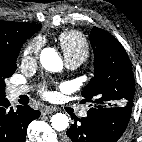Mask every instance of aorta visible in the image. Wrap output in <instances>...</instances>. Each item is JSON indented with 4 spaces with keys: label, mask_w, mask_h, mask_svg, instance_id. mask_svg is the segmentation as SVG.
<instances>
[{
    "label": "aorta",
    "mask_w": 142,
    "mask_h": 142,
    "mask_svg": "<svg viewBox=\"0 0 142 142\" xmlns=\"http://www.w3.org/2000/svg\"><path fill=\"white\" fill-rule=\"evenodd\" d=\"M40 62L46 70L51 72H59L63 68L61 57L57 50L51 47H46L41 51ZM51 125L56 131H63L68 127L69 119L66 114L56 113L52 116Z\"/></svg>",
    "instance_id": "aorta-1"
}]
</instances>
